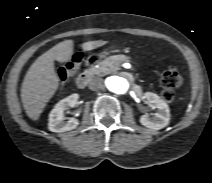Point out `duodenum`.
<instances>
[{"instance_id": "obj_1", "label": "duodenum", "mask_w": 212, "mask_h": 183, "mask_svg": "<svg viewBox=\"0 0 212 183\" xmlns=\"http://www.w3.org/2000/svg\"><path fill=\"white\" fill-rule=\"evenodd\" d=\"M96 62V58H88L86 62L87 70L81 73L76 80V85L78 88H84L87 86L92 75L91 68L96 64Z\"/></svg>"}]
</instances>
